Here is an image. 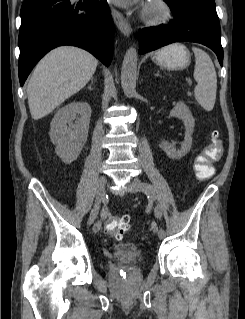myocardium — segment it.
Returning <instances> with one entry per match:
<instances>
[{
	"label": "myocardium",
	"mask_w": 245,
	"mask_h": 319,
	"mask_svg": "<svg viewBox=\"0 0 245 319\" xmlns=\"http://www.w3.org/2000/svg\"><path fill=\"white\" fill-rule=\"evenodd\" d=\"M172 9L166 0H150L142 13V20L149 26H159L170 20Z\"/></svg>",
	"instance_id": "obj_1"
}]
</instances>
